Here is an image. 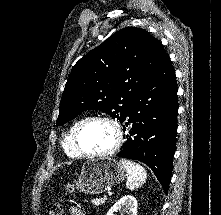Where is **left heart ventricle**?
<instances>
[{"mask_svg": "<svg viewBox=\"0 0 221 215\" xmlns=\"http://www.w3.org/2000/svg\"><path fill=\"white\" fill-rule=\"evenodd\" d=\"M79 142L81 148L86 152H104L113 145L114 132L108 123L94 121L82 130Z\"/></svg>", "mask_w": 221, "mask_h": 215, "instance_id": "1", "label": "left heart ventricle"}]
</instances>
